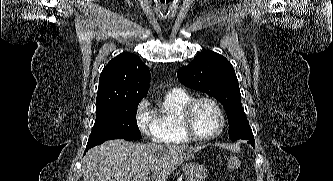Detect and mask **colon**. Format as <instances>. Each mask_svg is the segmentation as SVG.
Returning <instances> with one entry per match:
<instances>
[{
	"label": "colon",
	"instance_id": "colon-1",
	"mask_svg": "<svg viewBox=\"0 0 333 181\" xmlns=\"http://www.w3.org/2000/svg\"><path fill=\"white\" fill-rule=\"evenodd\" d=\"M242 166V160L237 156H231L227 160V167L230 170H238Z\"/></svg>",
	"mask_w": 333,
	"mask_h": 181
}]
</instances>
